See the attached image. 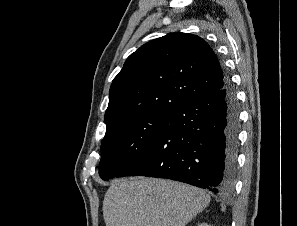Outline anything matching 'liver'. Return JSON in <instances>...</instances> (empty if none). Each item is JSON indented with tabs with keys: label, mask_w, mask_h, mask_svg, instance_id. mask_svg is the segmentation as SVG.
<instances>
[{
	"label": "liver",
	"mask_w": 297,
	"mask_h": 226,
	"mask_svg": "<svg viewBox=\"0 0 297 226\" xmlns=\"http://www.w3.org/2000/svg\"><path fill=\"white\" fill-rule=\"evenodd\" d=\"M197 187L157 178L117 179L103 201L106 226H185L209 204Z\"/></svg>",
	"instance_id": "liver-1"
}]
</instances>
